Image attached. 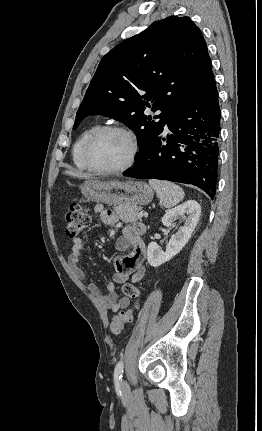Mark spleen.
Masks as SVG:
<instances>
[{"label":"spleen","instance_id":"1","mask_svg":"<svg viewBox=\"0 0 262 431\" xmlns=\"http://www.w3.org/2000/svg\"><path fill=\"white\" fill-rule=\"evenodd\" d=\"M149 184L156 191L163 206L167 209L177 205L185 196L184 190L172 182L150 179Z\"/></svg>","mask_w":262,"mask_h":431}]
</instances>
